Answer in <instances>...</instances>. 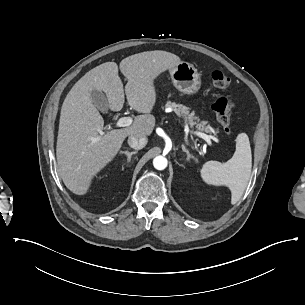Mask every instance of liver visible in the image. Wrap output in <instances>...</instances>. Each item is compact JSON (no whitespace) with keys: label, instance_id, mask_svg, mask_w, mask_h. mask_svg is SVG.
<instances>
[{"label":"liver","instance_id":"1","mask_svg":"<svg viewBox=\"0 0 305 305\" xmlns=\"http://www.w3.org/2000/svg\"><path fill=\"white\" fill-rule=\"evenodd\" d=\"M180 58L170 52L155 50L131 55L120 62L127 78V102L143 115L131 126L113 129L101 135L104 120L91 99V91H103L112 111H120L125 102L122 81L115 62L103 63L80 78L67 94L61 109L56 147L58 174L65 186L77 195L87 192L92 177L110 162L127 136L145 137L155 126L150 114L155 101L154 79L174 68Z\"/></svg>","mask_w":305,"mask_h":305}]
</instances>
